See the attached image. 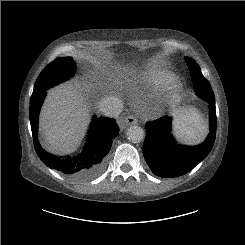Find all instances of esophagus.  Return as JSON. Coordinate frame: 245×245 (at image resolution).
<instances>
[{
	"instance_id": "1",
	"label": "esophagus",
	"mask_w": 245,
	"mask_h": 245,
	"mask_svg": "<svg viewBox=\"0 0 245 245\" xmlns=\"http://www.w3.org/2000/svg\"><path fill=\"white\" fill-rule=\"evenodd\" d=\"M123 121H124V124L126 126H131V125L137 124V118L133 115H129V116L125 117Z\"/></svg>"
}]
</instances>
